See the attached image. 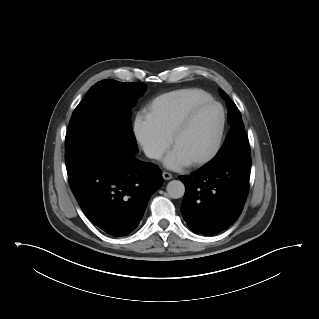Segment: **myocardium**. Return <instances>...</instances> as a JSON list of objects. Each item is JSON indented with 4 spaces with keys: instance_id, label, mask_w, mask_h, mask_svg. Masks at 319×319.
<instances>
[{
    "instance_id": "f54148a6",
    "label": "myocardium",
    "mask_w": 319,
    "mask_h": 319,
    "mask_svg": "<svg viewBox=\"0 0 319 319\" xmlns=\"http://www.w3.org/2000/svg\"><path fill=\"white\" fill-rule=\"evenodd\" d=\"M209 105H215L220 109V114H221V123H220V128H219V133L217 136L216 144L214 149L205 157H202L200 159L194 160L189 163L190 166H202L205 165L211 161H213L218 154L220 153L223 145V140H224V135H225V129H226V110L224 106L217 100L215 99H209L203 102H200L194 106H192L188 112L186 113L185 117L180 121V123L174 128L172 131L170 137H169V144L170 147L173 148V145L175 141L184 133L188 130V128L191 126L196 114L203 109L206 106Z\"/></svg>"
}]
</instances>
